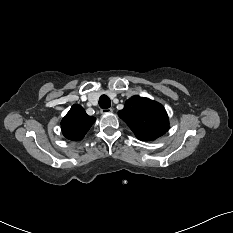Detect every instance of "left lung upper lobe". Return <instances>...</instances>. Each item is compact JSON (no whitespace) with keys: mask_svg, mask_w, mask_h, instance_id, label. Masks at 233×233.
I'll return each instance as SVG.
<instances>
[{"mask_svg":"<svg viewBox=\"0 0 233 233\" xmlns=\"http://www.w3.org/2000/svg\"><path fill=\"white\" fill-rule=\"evenodd\" d=\"M118 115L135 136L143 141L156 139L169 129V119L165 108L149 98L132 96Z\"/></svg>","mask_w":233,"mask_h":233,"instance_id":"obj_1","label":"left lung upper lobe"}]
</instances>
